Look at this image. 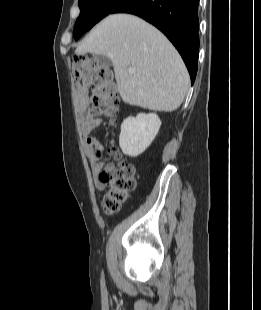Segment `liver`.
Returning <instances> with one entry per match:
<instances>
[{
  "instance_id": "1",
  "label": "liver",
  "mask_w": 261,
  "mask_h": 310,
  "mask_svg": "<svg viewBox=\"0 0 261 310\" xmlns=\"http://www.w3.org/2000/svg\"><path fill=\"white\" fill-rule=\"evenodd\" d=\"M75 53L109 57L119 94L130 105L172 112L181 105L189 88L186 66L170 41L134 15H109ZM129 68L135 73H129Z\"/></svg>"
}]
</instances>
